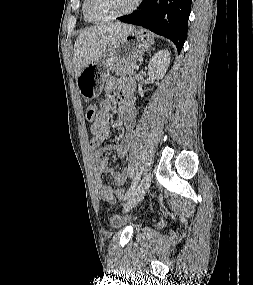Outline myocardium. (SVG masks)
<instances>
[{"instance_id":"1","label":"myocardium","mask_w":253,"mask_h":285,"mask_svg":"<svg viewBox=\"0 0 253 285\" xmlns=\"http://www.w3.org/2000/svg\"><path fill=\"white\" fill-rule=\"evenodd\" d=\"M90 2H91V0H84V8H85V12H86L87 16L92 21L103 22V21L115 20V19H118V18H121L123 16L131 14L132 12H134L139 7L142 0H134L133 4L128 9H126L125 11H122L120 13H117V14H114L111 16H105V17H99V16L94 15L91 11V8H90Z\"/></svg>"}]
</instances>
